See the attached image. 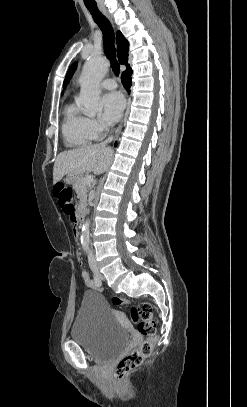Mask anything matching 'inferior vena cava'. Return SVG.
Segmentation results:
<instances>
[{
	"label": "inferior vena cava",
	"instance_id": "602c4592",
	"mask_svg": "<svg viewBox=\"0 0 247 407\" xmlns=\"http://www.w3.org/2000/svg\"><path fill=\"white\" fill-rule=\"evenodd\" d=\"M113 140V136L108 137L104 142L101 143V146L105 147L108 143H110ZM88 261L90 264L95 263V257L91 251L88 253Z\"/></svg>",
	"mask_w": 247,
	"mask_h": 407
}]
</instances>
